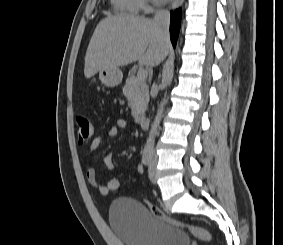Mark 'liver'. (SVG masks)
<instances>
[{"instance_id":"6515ba94","label":"liver","mask_w":283,"mask_h":245,"mask_svg":"<svg viewBox=\"0 0 283 245\" xmlns=\"http://www.w3.org/2000/svg\"><path fill=\"white\" fill-rule=\"evenodd\" d=\"M169 49V38L154 20L108 15L99 22L91 37L84 75L89 79L103 68L135 61L153 67L166 58Z\"/></svg>"}]
</instances>
